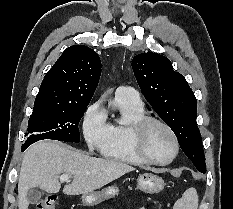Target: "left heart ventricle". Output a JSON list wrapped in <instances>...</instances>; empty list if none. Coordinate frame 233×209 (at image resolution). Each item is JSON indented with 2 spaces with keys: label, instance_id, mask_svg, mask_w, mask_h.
Listing matches in <instances>:
<instances>
[{
  "label": "left heart ventricle",
  "instance_id": "b2bd125f",
  "mask_svg": "<svg viewBox=\"0 0 233 209\" xmlns=\"http://www.w3.org/2000/svg\"><path fill=\"white\" fill-rule=\"evenodd\" d=\"M144 146L148 155L157 161L168 160L174 150L171 136L163 127L157 124H153L148 128Z\"/></svg>",
  "mask_w": 233,
  "mask_h": 209
}]
</instances>
